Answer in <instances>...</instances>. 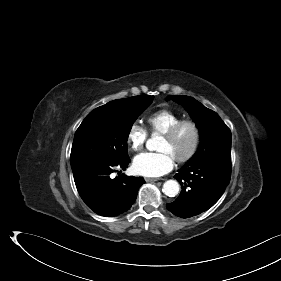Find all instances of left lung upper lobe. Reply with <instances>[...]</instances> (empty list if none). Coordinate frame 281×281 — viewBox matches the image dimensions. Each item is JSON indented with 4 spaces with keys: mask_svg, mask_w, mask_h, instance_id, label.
Instances as JSON below:
<instances>
[{
    "mask_svg": "<svg viewBox=\"0 0 281 281\" xmlns=\"http://www.w3.org/2000/svg\"><path fill=\"white\" fill-rule=\"evenodd\" d=\"M168 100L183 104L200 131L201 145L186 164L206 159H231V131L217 113L189 96L171 95Z\"/></svg>",
    "mask_w": 281,
    "mask_h": 281,
    "instance_id": "left-lung-upper-lobe-1",
    "label": "left lung upper lobe"
}]
</instances>
